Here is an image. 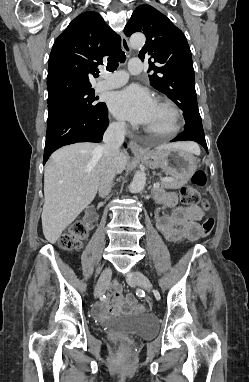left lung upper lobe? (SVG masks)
I'll list each match as a JSON object with an SVG mask.
<instances>
[{
	"label": "left lung upper lobe",
	"instance_id": "left-lung-upper-lobe-1",
	"mask_svg": "<svg viewBox=\"0 0 249 382\" xmlns=\"http://www.w3.org/2000/svg\"><path fill=\"white\" fill-rule=\"evenodd\" d=\"M143 32L146 43L139 58L149 63L150 84L183 111L186 124H202L194 85L192 56L186 37L165 15L150 5L138 6L128 21L127 36Z\"/></svg>",
	"mask_w": 249,
	"mask_h": 382
}]
</instances>
